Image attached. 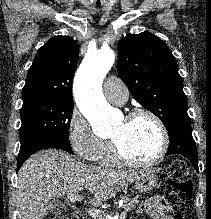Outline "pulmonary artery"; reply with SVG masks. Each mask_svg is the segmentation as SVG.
Listing matches in <instances>:
<instances>
[{"mask_svg":"<svg viewBox=\"0 0 211 219\" xmlns=\"http://www.w3.org/2000/svg\"><path fill=\"white\" fill-rule=\"evenodd\" d=\"M104 93L111 103L117 105L124 104L129 95L126 85L117 77H110L105 80Z\"/></svg>","mask_w":211,"mask_h":219,"instance_id":"e3ab8cb5","label":"pulmonary artery"}]
</instances>
